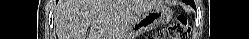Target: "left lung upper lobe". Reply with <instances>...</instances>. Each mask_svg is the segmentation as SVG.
I'll return each mask as SVG.
<instances>
[{"label":"left lung upper lobe","mask_w":249,"mask_h":39,"mask_svg":"<svg viewBox=\"0 0 249 39\" xmlns=\"http://www.w3.org/2000/svg\"><path fill=\"white\" fill-rule=\"evenodd\" d=\"M185 3L193 5V1H185Z\"/></svg>","instance_id":"obj_1"}]
</instances>
